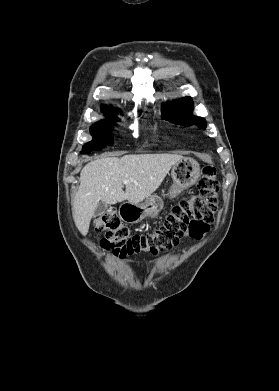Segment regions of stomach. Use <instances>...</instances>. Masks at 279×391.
Wrapping results in <instances>:
<instances>
[{"label":"stomach","instance_id":"0dacf381","mask_svg":"<svg viewBox=\"0 0 279 391\" xmlns=\"http://www.w3.org/2000/svg\"><path fill=\"white\" fill-rule=\"evenodd\" d=\"M200 177V166L192 158H183L172 166V186L169 197L175 198L183 190L193 186ZM163 200L158 195H151L141 204L123 203L119 208L120 218L127 223H138L146 217H156L163 209Z\"/></svg>","mask_w":279,"mask_h":391}]
</instances>
